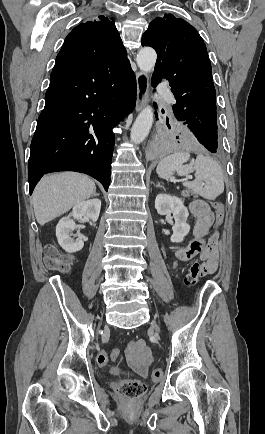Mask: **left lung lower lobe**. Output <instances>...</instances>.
<instances>
[{
    "label": "left lung lower lobe",
    "instance_id": "obj_1",
    "mask_svg": "<svg viewBox=\"0 0 265 434\" xmlns=\"http://www.w3.org/2000/svg\"><path fill=\"white\" fill-rule=\"evenodd\" d=\"M218 127L214 128L211 126L202 128H191V131L197 138L198 142L201 144V149L204 152L217 153L221 150V144L218 139ZM162 148L164 149H175L176 146L164 142L162 143Z\"/></svg>",
    "mask_w": 265,
    "mask_h": 434
}]
</instances>
